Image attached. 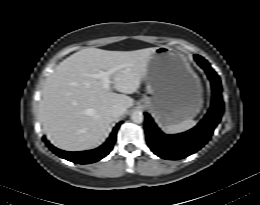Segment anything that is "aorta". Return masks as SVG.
Here are the masks:
<instances>
[{
    "instance_id": "obj_1",
    "label": "aorta",
    "mask_w": 260,
    "mask_h": 205,
    "mask_svg": "<svg viewBox=\"0 0 260 205\" xmlns=\"http://www.w3.org/2000/svg\"><path fill=\"white\" fill-rule=\"evenodd\" d=\"M131 119L134 123L140 124L143 122V113L140 110H136L132 113Z\"/></svg>"
}]
</instances>
